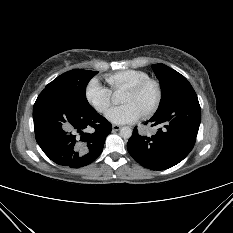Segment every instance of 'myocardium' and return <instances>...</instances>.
<instances>
[{
  "mask_svg": "<svg viewBox=\"0 0 233 233\" xmlns=\"http://www.w3.org/2000/svg\"><path fill=\"white\" fill-rule=\"evenodd\" d=\"M154 86L155 90H156V97L153 101V103L150 105V107L143 113V117L147 118L152 116L157 109L160 106L161 100H162V86L160 84V82L154 78H147L144 79L130 87H128L126 90L133 92V93H141L142 91H144L148 86Z\"/></svg>",
  "mask_w": 233,
  "mask_h": 233,
  "instance_id": "myocardium-1",
  "label": "myocardium"
}]
</instances>
